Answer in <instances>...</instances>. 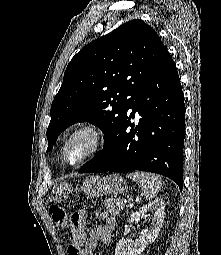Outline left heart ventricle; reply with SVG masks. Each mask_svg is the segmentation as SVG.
Masks as SVG:
<instances>
[{
  "label": "left heart ventricle",
  "mask_w": 221,
  "mask_h": 255,
  "mask_svg": "<svg viewBox=\"0 0 221 255\" xmlns=\"http://www.w3.org/2000/svg\"><path fill=\"white\" fill-rule=\"evenodd\" d=\"M91 138L87 134H81L70 141L66 149V159L70 163L80 160L90 149Z\"/></svg>",
  "instance_id": "left-heart-ventricle-1"
}]
</instances>
